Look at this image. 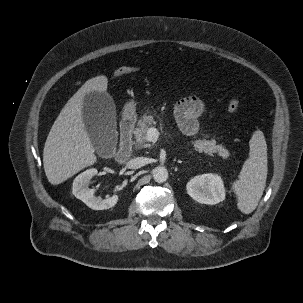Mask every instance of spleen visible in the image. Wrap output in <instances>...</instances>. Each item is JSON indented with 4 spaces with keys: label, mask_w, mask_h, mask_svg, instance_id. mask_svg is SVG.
Listing matches in <instances>:
<instances>
[{
    "label": "spleen",
    "mask_w": 303,
    "mask_h": 303,
    "mask_svg": "<svg viewBox=\"0 0 303 303\" xmlns=\"http://www.w3.org/2000/svg\"><path fill=\"white\" fill-rule=\"evenodd\" d=\"M250 152L244 162L239 179L232 185L237 196L238 209L249 214L260 201L267 179V144L261 130H256L249 142Z\"/></svg>",
    "instance_id": "1"
}]
</instances>
